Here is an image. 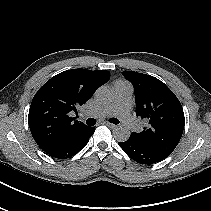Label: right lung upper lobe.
<instances>
[{
    "label": "right lung upper lobe",
    "mask_w": 211,
    "mask_h": 211,
    "mask_svg": "<svg viewBox=\"0 0 211 211\" xmlns=\"http://www.w3.org/2000/svg\"><path fill=\"white\" fill-rule=\"evenodd\" d=\"M110 78L109 71L72 69L47 81L35 94L28 123L34 140L45 152L62 145L89 127L71 117Z\"/></svg>",
    "instance_id": "right-lung-upper-lobe-1"
}]
</instances>
